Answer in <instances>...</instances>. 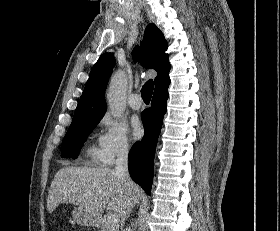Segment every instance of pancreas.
<instances>
[{
    "instance_id": "obj_1",
    "label": "pancreas",
    "mask_w": 280,
    "mask_h": 231,
    "mask_svg": "<svg viewBox=\"0 0 280 231\" xmlns=\"http://www.w3.org/2000/svg\"><path fill=\"white\" fill-rule=\"evenodd\" d=\"M97 227H100V231H119L118 223H109L107 217H101Z\"/></svg>"
}]
</instances>
